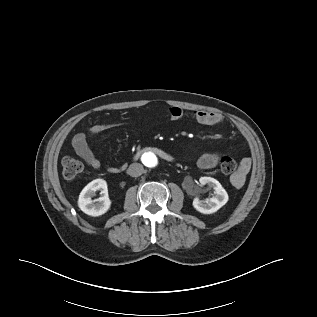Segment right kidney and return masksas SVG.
I'll list each match as a JSON object with an SVG mask.
<instances>
[{
	"mask_svg": "<svg viewBox=\"0 0 317 317\" xmlns=\"http://www.w3.org/2000/svg\"><path fill=\"white\" fill-rule=\"evenodd\" d=\"M96 191H100L101 197L92 200L91 197L95 195ZM78 206L84 213L94 217L106 213L111 206L106 181L95 179L87 184L79 195Z\"/></svg>",
	"mask_w": 317,
	"mask_h": 317,
	"instance_id": "ca27d5eb",
	"label": "right kidney"
}]
</instances>
